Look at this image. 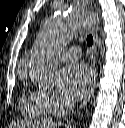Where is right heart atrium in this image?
Here are the masks:
<instances>
[{
    "instance_id": "d8ad5b80",
    "label": "right heart atrium",
    "mask_w": 125,
    "mask_h": 128,
    "mask_svg": "<svg viewBox=\"0 0 125 128\" xmlns=\"http://www.w3.org/2000/svg\"><path fill=\"white\" fill-rule=\"evenodd\" d=\"M38 95L41 97L50 113L57 114L61 112L66 106V101L52 90H38Z\"/></svg>"
}]
</instances>
